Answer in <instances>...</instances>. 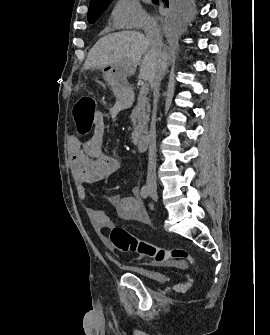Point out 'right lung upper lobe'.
Here are the masks:
<instances>
[{"label":"right lung upper lobe","instance_id":"cb5924a9","mask_svg":"<svg viewBox=\"0 0 270 335\" xmlns=\"http://www.w3.org/2000/svg\"><path fill=\"white\" fill-rule=\"evenodd\" d=\"M112 0H90V6L93 5H100V4H107L111 2Z\"/></svg>","mask_w":270,"mask_h":335}]
</instances>
